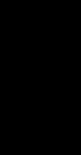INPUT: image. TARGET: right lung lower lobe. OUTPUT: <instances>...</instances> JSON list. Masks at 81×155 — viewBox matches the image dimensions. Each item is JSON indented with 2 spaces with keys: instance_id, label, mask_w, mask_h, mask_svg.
Returning <instances> with one entry per match:
<instances>
[{
  "instance_id": "98d812e1",
  "label": "right lung lower lobe",
  "mask_w": 81,
  "mask_h": 155,
  "mask_svg": "<svg viewBox=\"0 0 81 155\" xmlns=\"http://www.w3.org/2000/svg\"><path fill=\"white\" fill-rule=\"evenodd\" d=\"M28 112H23L18 116H15L14 118L10 119L6 124L8 127H15L20 124L22 118L27 114Z\"/></svg>"
}]
</instances>
